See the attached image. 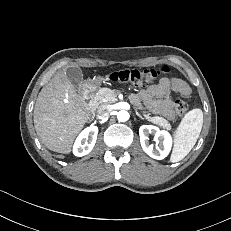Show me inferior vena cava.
<instances>
[{
	"label": "inferior vena cava",
	"instance_id": "602c4592",
	"mask_svg": "<svg viewBox=\"0 0 231 231\" xmlns=\"http://www.w3.org/2000/svg\"><path fill=\"white\" fill-rule=\"evenodd\" d=\"M111 112V108L109 105H100L97 108V117L99 119H104L106 118Z\"/></svg>",
	"mask_w": 231,
	"mask_h": 231
}]
</instances>
